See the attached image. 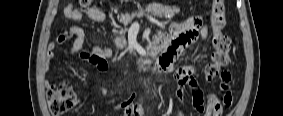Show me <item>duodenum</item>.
I'll return each mask as SVG.
<instances>
[{
    "instance_id": "duodenum-1",
    "label": "duodenum",
    "mask_w": 283,
    "mask_h": 116,
    "mask_svg": "<svg viewBox=\"0 0 283 116\" xmlns=\"http://www.w3.org/2000/svg\"><path fill=\"white\" fill-rule=\"evenodd\" d=\"M164 39H158L156 40L153 45L151 46V53L152 55H156L161 51V47L164 45ZM171 61V60H170ZM159 71H162L160 68H158Z\"/></svg>"
}]
</instances>
